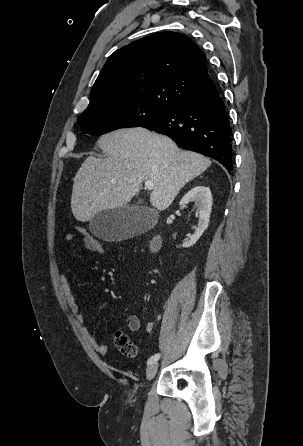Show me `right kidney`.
Instances as JSON below:
<instances>
[{
  "label": "right kidney",
  "instance_id": "obj_1",
  "mask_svg": "<svg viewBox=\"0 0 303 446\" xmlns=\"http://www.w3.org/2000/svg\"><path fill=\"white\" fill-rule=\"evenodd\" d=\"M191 201L195 202V205L199 210L198 227L196 228L195 233L190 236V240L185 241L182 244L183 248L193 246L208 227L212 209V195L210 189L206 186H196L192 188L183 196L180 205H186Z\"/></svg>",
  "mask_w": 303,
  "mask_h": 446
}]
</instances>
